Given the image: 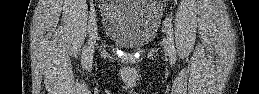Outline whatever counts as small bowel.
<instances>
[{"label": "small bowel", "instance_id": "c3829d8e", "mask_svg": "<svg viewBox=\"0 0 259 94\" xmlns=\"http://www.w3.org/2000/svg\"><path fill=\"white\" fill-rule=\"evenodd\" d=\"M159 5H160V7H161V10H162V4H160V3H158Z\"/></svg>", "mask_w": 259, "mask_h": 94}]
</instances>
